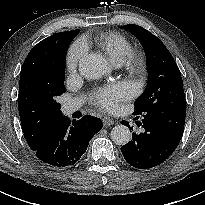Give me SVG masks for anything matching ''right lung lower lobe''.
Instances as JSON below:
<instances>
[{"label":"right lung lower lobe","instance_id":"98d812e1","mask_svg":"<svg viewBox=\"0 0 205 205\" xmlns=\"http://www.w3.org/2000/svg\"><path fill=\"white\" fill-rule=\"evenodd\" d=\"M100 120L84 116L73 121L63 116L51 127L33 150L44 163L58 168L76 164L86 151L91 138L100 131Z\"/></svg>","mask_w":205,"mask_h":205}]
</instances>
